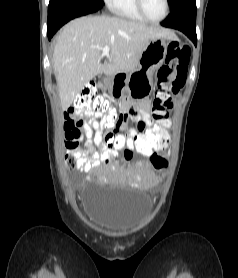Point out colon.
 <instances>
[{"label":"colon","instance_id":"1","mask_svg":"<svg viewBox=\"0 0 238 278\" xmlns=\"http://www.w3.org/2000/svg\"><path fill=\"white\" fill-rule=\"evenodd\" d=\"M189 58L190 49L186 45L178 42H171L168 45L165 63L160 67L156 76L152 110L154 124H150L146 137H117L121 114L110 109L108 100L98 94L94 85L83 89L75 98L74 106L70 110L76 115L96 112L108 114L110 117L100 130L105 151L125 153L121 154V159H132V156H141L142 159H146L148 156L155 168L162 169L167 162L155 153L156 149H168V141H165L164 135L170 127L169 115L173 107L172 99L185 84ZM82 123V119L77 121L70 119L64 124L68 150L78 147L77 140L82 136ZM65 162L70 170L77 167L76 157L71 152L66 155Z\"/></svg>","mask_w":238,"mask_h":278}]
</instances>
